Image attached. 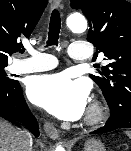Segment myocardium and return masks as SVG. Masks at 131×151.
I'll return each mask as SVG.
<instances>
[{
  "mask_svg": "<svg viewBox=\"0 0 131 151\" xmlns=\"http://www.w3.org/2000/svg\"><path fill=\"white\" fill-rule=\"evenodd\" d=\"M105 109L99 101H93L86 112L84 122L87 125L94 126L103 121Z\"/></svg>",
  "mask_w": 131,
  "mask_h": 151,
  "instance_id": "1",
  "label": "myocardium"
}]
</instances>
